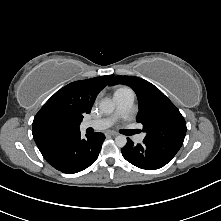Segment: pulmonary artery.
<instances>
[{
	"label": "pulmonary artery",
	"mask_w": 221,
	"mask_h": 221,
	"mask_svg": "<svg viewBox=\"0 0 221 221\" xmlns=\"http://www.w3.org/2000/svg\"><path fill=\"white\" fill-rule=\"evenodd\" d=\"M114 100L116 103V112L113 116L109 118L85 121L82 123L81 128H93L95 130H103L110 127L117 118L126 117L132 109L134 102V93L130 91L122 94H116L114 96ZM144 137V134H140L136 136L135 140L136 142L140 143L144 140Z\"/></svg>",
	"instance_id": "1"
}]
</instances>
